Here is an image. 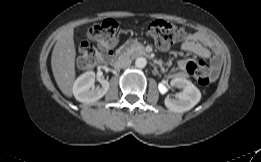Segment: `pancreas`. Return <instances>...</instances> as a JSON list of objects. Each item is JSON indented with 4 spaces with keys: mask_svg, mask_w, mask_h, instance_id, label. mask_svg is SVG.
Wrapping results in <instances>:
<instances>
[{
    "mask_svg": "<svg viewBox=\"0 0 261 162\" xmlns=\"http://www.w3.org/2000/svg\"><path fill=\"white\" fill-rule=\"evenodd\" d=\"M138 48H142L141 45L137 42V41H134V42H130V49L135 51L137 50Z\"/></svg>",
    "mask_w": 261,
    "mask_h": 162,
    "instance_id": "1",
    "label": "pancreas"
}]
</instances>
